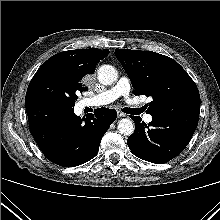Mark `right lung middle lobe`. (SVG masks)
Returning <instances> with one entry per match:
<instances>
[{
	"label": "right lung middle lobe",
	"instance_id": "1",
	"mask_svg": "<svg viewBox=\"0 0 220 220\" xmlns=\"http://www.w3.org/2000/svg\"><path fill=\"white\" fill-rule=\"evenodd\" d=\"M83 77L59 68H39L29 83L25 99H48L74 107L77 94L88 90Z\"/></svg>",
	"mask_w": 220,
	"mask_h": 220
}]
</instances>
